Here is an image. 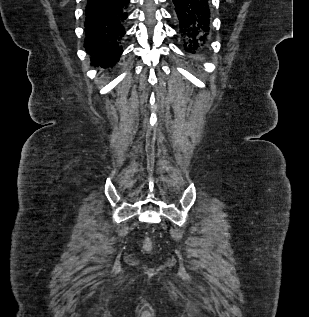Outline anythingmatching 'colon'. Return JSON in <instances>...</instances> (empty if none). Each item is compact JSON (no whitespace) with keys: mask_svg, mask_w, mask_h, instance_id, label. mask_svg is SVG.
Returning <instances> with one entry per match:
<instances>
[{"mask_svg":"<svg viewBox=\"0 0 309 317\" xmlns=\"http://www.w3.org/2000/svg\"><path fill=\"white\" fill-rule=\"evenodd\" d=\"M143 248L147 252H151L153 249V244L150 238H145L143 241Z\"/></svg>","mask_w":309,"mask_h":317,"instance_id":"colon-1","label":"colon"}]
</instances>
